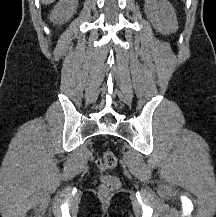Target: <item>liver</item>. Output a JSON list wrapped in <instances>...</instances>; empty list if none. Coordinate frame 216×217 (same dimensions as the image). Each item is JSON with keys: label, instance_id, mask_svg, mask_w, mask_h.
<instances>
[{"label": "liver", "instance_id": "1", "mask_svg": "<svg viewBox=\"0 0 216 217\" xmlns=\"http://www.w3.org/2000/svg\"><path fill=\"white\" fill-rule=\"evenodd\" d=\"M55 0H42V3L44 4V5H49V4H51V3H53Z\"/></svg>", "mask_w": 216, "mask_h": 217}]
</instances>
